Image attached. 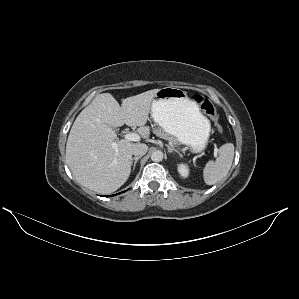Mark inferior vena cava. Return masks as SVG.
<instances>
[{
  "mask_svg": "<svg viewBox=\"0 0 299 299\" xmlns=\"http://www.w3.org/2000/svg\"><path fill=\"white\" fill-rule=\"evenodd\" d=\"M148 150V146L146 144H137L135 145V147L133 148V154L135 156H143L147 153Z\"/></svg>",
  "mask_w": 299,
  "mask_h": 299,
  "instance_id": "inferior-vena-cava-1",
  "label": "inferior vena cava"
}]
</instances>
